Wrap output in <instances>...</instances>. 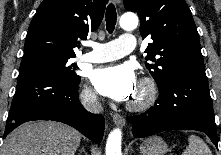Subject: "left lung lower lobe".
<instances>
[{
	"instance_id": "left-lung-lower-lobe-1",
	"label": "left lung lower lobe",
	"mask_w": 221,
	"mask_h": 155,
	"mask_svg": "<svg viewBox=\"0 0 221 155\" xmlns=\"http://www.w3.org/2000/svg\"><path fill=\"white\" fill-rule=\"evenodd\" d=\"M153 107L128 117L135 138L166 130H197L206 133L218 146L213 103L205 72H186L172 78L159 90Z\"/></svg>"
}]
</instances>
